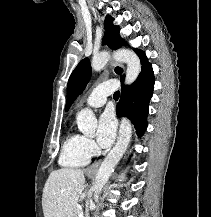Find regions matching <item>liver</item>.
<instances>
[{"label": "liver", "instance_id": "obj_1", "mask_svg": "<svg viewBox=\"0 0 211 217\" xmlns=\"http://www.w3.org/2000/svg\"><path fill=\"white\" fill-rule=\"evenodd\" d=\"M84 183L82 169L62 168L51 172L42 195L44 217H71Z\"/></svg>", "mask_w": 211, "mask_h": 217}]
</instances>
